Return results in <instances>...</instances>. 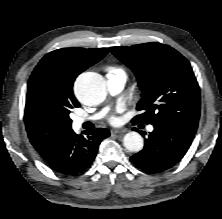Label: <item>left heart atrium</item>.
Wrapping results in <instances>:
<instances>
[{"label": "left heart atrium", "mask_w": 222, "mask_h": 219, "mask_svg": "<svg viewBox=\"0 0 222 219\" xmlns=\"http://www.w3.org/2000/svg\"><path fill=\"white\" fill-rule=\"evenodd\" d=\"M110 121H111L112 123H115V122H116V118H115V117H111Z\"/></svg>", "instance_id": "39dd6f15"}]
</instances>
